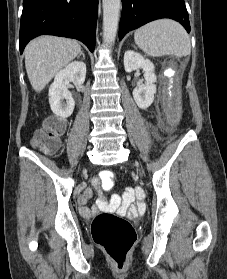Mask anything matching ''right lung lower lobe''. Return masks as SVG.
Segmentation results:
<instances>
[{
	"instance_id": "1",
	"label": "right lung lower lobe",
	"mask_w": 227,
	"mask_h": 279,
	"mask_svg": "<svg viewBox=\"0 0 227 279\" xmlns=\"http://www.w3.org/2000/svg\"><path fill=\"white\" fill-rule=\"evenodd\" d=\"M98 0H23L19 48L42 34L75 38L95 47Z\"/></svg>"
}]
</instances>
